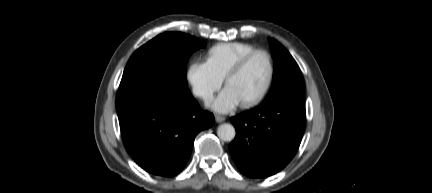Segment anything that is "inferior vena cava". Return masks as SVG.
<instances>
[{"label":"inferior vena cava","mask_w":432,"mask_h":193,"mask_svg":"<svg viewBox=\"0 0 432 193\" xmlns=\"http://www.w3.org/2000/svg\"><path fill=\"white\" fill-rule=\"evenodd\" d=\"M201 95L205 98H210V94L206 93V92H202Z\"/></svg>","instance_id":"obj_1"}]
</instances>
